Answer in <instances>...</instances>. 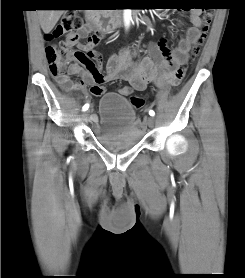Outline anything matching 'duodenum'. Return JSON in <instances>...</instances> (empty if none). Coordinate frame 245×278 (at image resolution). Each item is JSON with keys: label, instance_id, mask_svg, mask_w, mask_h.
Listing matches in <instances>:
<instances>
[{"label": "duodenum", "instance_id": "410a0bca", "mask_svg": "<svg viewBox=\"0 0 245 278\" xmlns=\"http://www.w3.org/2000/svg\"><path fill=\"white\" fill-rule=\"evenodd\" d=\"M136 19H137V15L132 13V16H131L132 22H135ZM86 21L94 29L102 31L104 33H111L118 26V23L116 21H113L111 16L103 15V14H100V13L89 12L86 15ZM85 91H86V89L76 90L77 93H83Z\"/></svg>", "mask_w": 245, "mask_h": 278}]
</instances>
